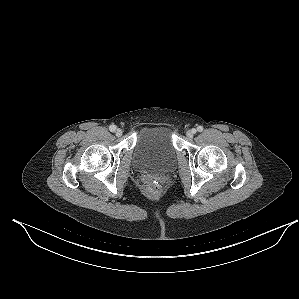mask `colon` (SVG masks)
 <instances>
[{
    "label": "colon",
    "instance_id": "1",
    "mask_svg": "<svg viewBox=\"0 0 299 299\" xmlns=\"http://www.w3.org/2000/svg\"><path fill=\"white\" fill-rule=\"evenodd\" d=\"M148 191L152 196H157L160 192V184L156 180H151L148 182Z\"/></svg>",
    "mask_w": 299,
    "mask_h": 299
}]
</instances>
